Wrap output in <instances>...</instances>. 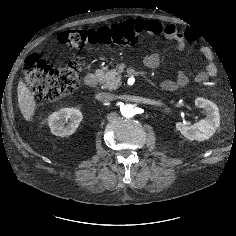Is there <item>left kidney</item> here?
<instances>
[{
	"label": "left kidney",
	"instance_id": "5707ae66",
	"mask_svg": "<svg viewBox=\"0 0 236 236\" xmlns=\"http://www.w3.org/2000/svg\"><path fill=\"white\" fill-rule=\"evenodd\" d=\"M195 106L205 110L206 118L191 126L177 122L176 129L189 140L204 141L213 136L220 125L219 109L215 103L202 97L195 99Z\"/></svg>",
	"mask_w": 236,
	"mask_h": 236
}]
</instances>
